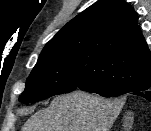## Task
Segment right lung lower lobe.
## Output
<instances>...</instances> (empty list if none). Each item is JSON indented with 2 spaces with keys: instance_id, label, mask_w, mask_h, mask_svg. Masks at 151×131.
Here are the masks:
<instances>
[{
  "instance_id": "right-lung-lower-lobe-1",
  "label": "right lung lower lobe",
  "mask_w": 151,
  "mask_h": 131,
  "mask_svg": "<svg viewBox=\"0 0 151 131\" xmlns=\"http://www.w3.org/2000/svg\"><path fill=\"white\" fill-rule=\"evenodd\" d=\"M77 85V88L83 91L97 93L105 97H118L127 93H131L137 96H141L148 101H151V83L146 85H140L128 90H120L102 85H93L91 81L82 80V78H80L77 81Z\"/></svg>"
}]
</instances>
